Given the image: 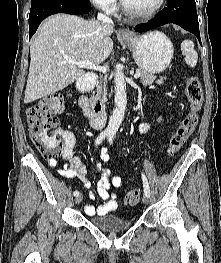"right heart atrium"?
I'll return each instance as SVG.
<instances>
[{
  "label": "right heart atrium",
  "instance_id": "right-heart-atrium-1",
  "mask_svg": "<svg viewBox=\"0 0 221 263\" xmlns=\"http://www.w3.org/2000/svg\"><path fill=\"white\" fill-rule=\"evenodd\" d=\"M90 2L99 10L112 14L118 7L117 0H90Z\"/></svg>",
  "mask_w": 221,
  "mask_h": 263
}]
</instances>
